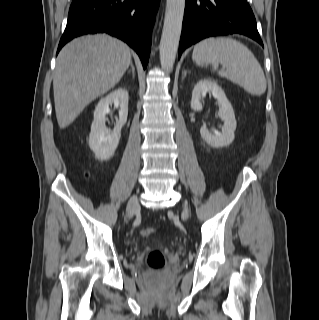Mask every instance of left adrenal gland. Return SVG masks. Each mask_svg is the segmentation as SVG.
<instances>
[{"instance_id": "obj_1", "label": "left adrenal gland", "mask_w": 319, "mask_h": 320, "mask_svg": "<svg viewBox=\"0 0 319 320\" xmlns=\"http://www.w3.org/2000/svg\"><path fill=\"white\" fill-rule=\"evenodd\" d=\"M187 72L188 71H186V70L183 71V78L186 76Z\"/></svg>"}]
</instances>
